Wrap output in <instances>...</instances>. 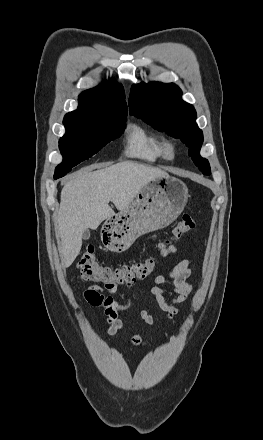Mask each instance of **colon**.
I'll list each match as a JSON object with an SVG mask.
<instances>
[{"label":"colon","instance_id":"5ec220e1","mask_svg":"<svg viewBox=\"0 0 263 440\" xmlns=\"http://www.w3.org/2000/svg\"><path fill=\"white\" fill-rule=\"evenodd\" d=\"M196 226L194 218L188 214L182 216L172 230V240H181ZM170 243L167 240L161 244L166 247ZM157 266L155 257H148L141 261L109 266L101 264L96 257L95 248L88 246L78 261V269L83 279L101 283L109 288L118 286H131L152 274Z\"/></svg>","mask_w":263,"mask_h":440}]
</instances>
